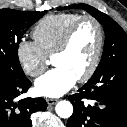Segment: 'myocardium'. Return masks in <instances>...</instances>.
<instances>
[{"instance_id":"obj_1","label":"myocardium","mask_w":127,"mask_h":127,"mask_svg":"<svg viewBox=\"0 0 127 127\" xmlns=\"http://www.w3.org/2000/svg\"><path fill=\"white\" fill-rule=\"evenodd\" d=\"M86 21L92 22L95 25L97 29V33H98V41H97V47H96V50H95V53L89 68L86 70L84 74H82L80 77L77 78V80L80 82H85L89 80L99 66L103 47H104V29L101 22L95 17L90 15L81 16L66 31L60 44L58 45V47L55 49V51L52 54V58L64 54L68 50L77 29Z\"/></svg>"}]
</instances>
